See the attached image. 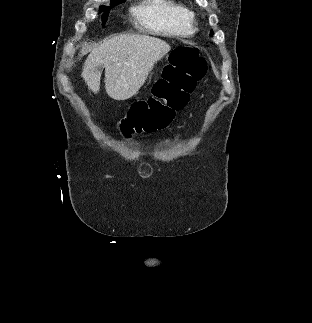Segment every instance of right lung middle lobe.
Returning <instances> with one entry per match:
<instances>
[{
  "instance_id": "1",
  "label": "right lung middle lobe",
  "mask_w": 312,
  "mask_h": 323,
  "mask_svg": "<svg viewBox=\"0 0 312 323\" xmlns=\"http://www.w3.org/2000/svg\"><path fill=\"white\" fill-rule=\"evenodd\" d=\"M114 6V4H111V7ZM110 9V7H101V10H105V13L102 16V22L105 23L108 17L109 12L107 11Z\"/></svg>"
}]
</instances>
